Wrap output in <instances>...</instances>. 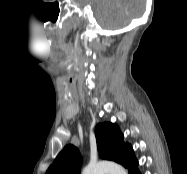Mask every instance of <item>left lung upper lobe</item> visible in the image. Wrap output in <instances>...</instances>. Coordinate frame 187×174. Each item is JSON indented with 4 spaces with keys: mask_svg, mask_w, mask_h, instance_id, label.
<instances>
[{
    "mask_svg": "<svg viewBox=\"0 0 187 174\" xmlns=\"http://www.w3.org/2000/svg\"><path fill=\"white\" fill-rule=\"evenodd\" d=\"M99 156L128 168L138 164L132 146L124 143L119 127L112 123L98 124L95 129ZM81 156L76 147L67 145L56 157L46 174H80Z\"/></svg>",
    "mask_w": 187,
    "mask_h": 174,
    "instance_id": "obj_1",
    "label": "left lung upper lobe"
}]
</instances>
